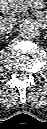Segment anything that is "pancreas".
I'll use <instances>...</instances> for the list:
<instances>
[{
  "label": "pancreas",
  "instance_id": "cf45deb5",
  "mask_svg": "<svg viewBox=\"0 0 47 129\" xmlns=\"http://www.w3.org/2000/svg\"><path fill=\"white\" fill-rule=\"evenodd\" d=\"M16 3L15 11L18 13L25 12L30 6L33 0H13Z\"/></svg>",
  "mask_w": 47,
  "mask_h": 129
}]
</instances>
